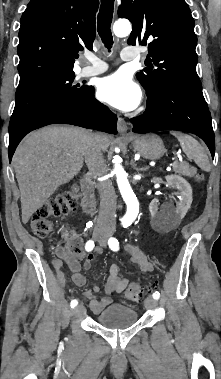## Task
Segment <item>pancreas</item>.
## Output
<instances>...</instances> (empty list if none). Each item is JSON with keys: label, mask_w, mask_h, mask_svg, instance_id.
<instances>
[{"label": "pancreas", "mask_w": 221, "mask_h": 379, "mask_svg": "<svg viewBox=\"0 0 221 379\" xmlns=\"http://www.w3.org/2000/svg\"><path fill=\"white\" fill-rule=\"evenodd\" d=\"M174 171L176 173L188 176L190 173V165L186 162L176 163V165L174 166Z\"/></svg>", "instance_id": "pancreas-1"}]
</instances>
